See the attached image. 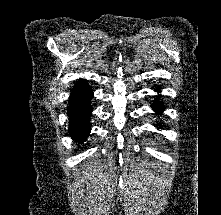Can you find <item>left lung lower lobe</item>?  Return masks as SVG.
I'll return each mask as SVG.
<instances>
[{"mask_svg": "<svg viewBox=\"0 0 221 215\" xmlns=\"http://www.w3.org/2000/svg\"><path fill=\"white\" fill-rule=\"evenodd\" d=\"M157 92H159V89L157 88L156 89ZM153 110L155 112H157L158 114H160L161 112L164 111V107L162 106V103L161 102H158V101H155L154 105L152 106Z\"/></svg>", "mask_w": 221, "mask_h": 215, "instance_id": "left-lung-lower-lobe-1", "label": "left lung lower lobe"}]
</instances>
